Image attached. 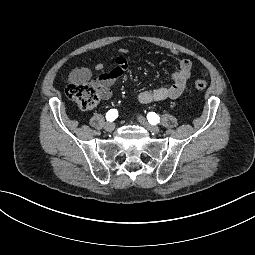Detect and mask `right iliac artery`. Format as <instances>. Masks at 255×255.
I'll use <instances>...</instances> for the list:
<instances>
[{
    "instance_id": "1",
    "label": "right iliac artery",
    "mask_w": 255,
    "mask_h": 255,
    "mask_svg": "<svg viewBox=\"0 0 255 255\" xmlns=\"http://www.w3.org/2000/svg\"><path fill=\"white\" fill-rule=\"evenodd\" d=\"M118 117V111L117 109H111L106 113V119L107 121H114Z\"/></svg>"
}]
</instances>
